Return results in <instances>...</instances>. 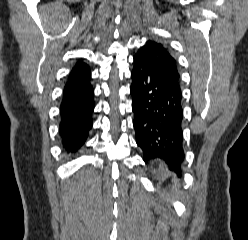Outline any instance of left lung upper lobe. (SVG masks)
<instances>
[{"mask_svg":"<svg viewBox=\"0 0 248 240\" xmlns=\"http://www.w3.org/2000/svg\"><path fill=\"white\" fill-rule=\"evenodd\" d=\"M136 55L146 59L180 87V74L177 69V62L162 44L149 40L139 49Z\"/></svg>","mask_w":248,"mask_h":240,"instance_id":"1","label":"left lung upper lobe"}]
</instances>
